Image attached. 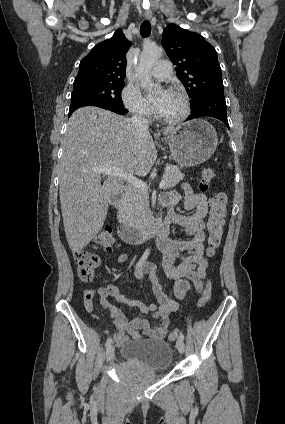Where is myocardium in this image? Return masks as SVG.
<instances>
[{"instance_id": "myocardium-1", "label": "myocardium", "mask_w": 285, "mask_h": 424, "mask_svg": "<svg viewBox=\"0 0 285 424\" xmlns=\"http://www.w3.org/2000/svg\"><path fill=\"white\" fill-rule=\"evenodd\" d=\"M171 93L176 94V95H178L179 97L182 98V100L184 102V110H183L182 114L179 115L176 118L168 119V118L161 117L159 115V113L156 112V118L161 123H163V124H166V125H177V124L182 123L183 121H185L189 117L190 112H191V104H190V99H189L188 95L185 92H183V91H181L179 89H173L171 91Z\"/></svg>"}]
</instances>
